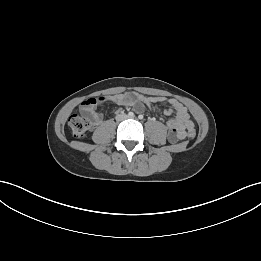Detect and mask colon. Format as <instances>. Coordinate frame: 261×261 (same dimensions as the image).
Segmentation results:
<instances>
[{
    "label": "colon",
    "mask_w": 261,
    "mask_h": 261,
    "mask_svg": "<svg viewBox=\"0 0 261 261\" xmlns=\"http://www.w3.org/2000/svg\"><path fill=\"white\" fill-rule=\"evenodd\" d=\"M68 125L71 133L74 137H83L90 128L91 122L89 118L82 114H73L68 120ZM187 135L189 138H193L195 135L194 128H189L187 130Z\"/></svg>",
    "instance_id": "obj_1"
}]
</instances>
